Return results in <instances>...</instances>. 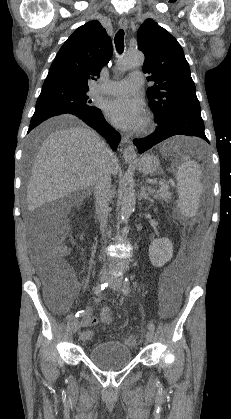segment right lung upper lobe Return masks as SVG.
I'll return each instance as SVG.
<instances>
[{
  "instance_id": "right-lung-upper-lobe-1",
  "label": "right lung upper lobe",
  "mask_w": 231,
  "mask_h": 419,
  "mask_svg": "<svg viewBox=\"0 0 231 419\" xmlns=\"http://www.w3.org/2000/svg\"><path fill=\"white\" fill-rule=\"evenodd\" d=\"M112 53L106 30L98 21H90L76 29L62 45L43 86L59 84L89 89L88 82L99 75Z\"/></svg>"
}]
</instances>
